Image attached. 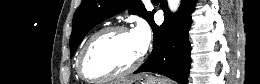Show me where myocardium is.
I'll list each match as a JSON object with an SVG mask.
<instances>
[{
	"label": "myocardium",
	"mask_w": 260,
	"mask_h": 84,
	"mask_svg": "<svg viewBox=\"0 0 260 84\" xmlns=\"http://www.w3.org/2000/svg\"><path fill=\"white\" fill-rule=\"evenodd\" d=\"M110 32H121V33L129 34V33H131V30L124 25L114 24V25H109V26H106V27H103V28L97 30L95 33H93L88 38V40L84 44L82 51L79 55L78 65H77V72L83 80H85L87 82L102 83V82L119 79V78H122V77L134 72L135 70H137L144 62L145 55H144V53H141L140 56L137 58V60L131 66L124 69L123 71L105 75V76H100V77H94V76L88 75L86 72V58H87L92 46L94 45V43L96 42V40L99 37H101L102 35H104L106 33H110Z\"/></svg>",
	"instance_id": "1"
}]
</instances>
